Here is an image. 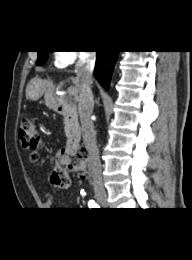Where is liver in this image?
<instances>
[{
  "mask_svg": "<svg viewBox=\"0 0 192 260\" xmlns=\"http://www.w3.org/2000/svg\"><path fill=\"white\" fill-rule=\"evenodd\" d=\"M73 84L75 85V89L77 90V93L79 92V80L78 78L72 79ZM32 85H37L42 87V92L45 94V99L48 101L51 97L54 96V86L53 83L50 80H41L40 78H34L30 81V83L27 86L26 89V97L29 98L28 90ZM42 94V95H43Z\"/></svg>",
  "mask_w": 192,
  "mask_h": 260,
  "instance_id": "1",
  "label": "liver"
}]
</instances>
